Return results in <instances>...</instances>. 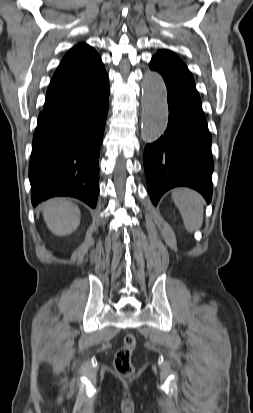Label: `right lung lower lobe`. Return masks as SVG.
Instances as JSON below:
<instances>
[{
    "instance_id": "98d812e1",
    "label": "right lung lower lobe",
    "mask_w": 253,
    "mask_h": 413,
    "mask_svg": "<svg viewBox=\"0 0 253 413\" xmlns=\"http://www.w3.org/2000/svg\"><path fill=\"white\" fill-rule=\"evenodd\" d=\"M108 107L107 77L94 93L40 113L29 164L33 206L53 196H72L95 208Z\"/></svg>"
}]
</instances>
